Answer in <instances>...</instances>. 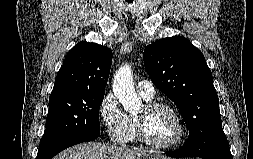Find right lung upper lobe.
Wrapping results in <instances>:
<instances>
[{
	"instance_id": "obj_1",
	"label": "right lung upper lobe",
	"mask_w": 253,
	"mask_h": 159,
	"mask_svg": "<svg viewBox=\"0 0 253 159\" xmlns=\"http://www.w3.org/2000/svg\"><path fill=\"white\" fill-rule=\"evenodd\" d=\"M112 51L97 43L80 42L66 55L50 98L81 92H105Z\"/></svg>"
}]
</instances>
